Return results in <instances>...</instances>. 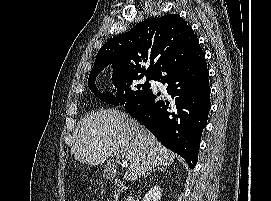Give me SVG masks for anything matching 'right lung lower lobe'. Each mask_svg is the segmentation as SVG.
<instances>
[{"instance_id":"obj_1","label":"right lung lower lobe","mask_w":271,"mask_h":201,"mask_svg":"<svg viewBox=\"0 0 271 201\" xmlns=\"http://www.w3.org/2000/svg\"><path fill=\"white\" fill-rule=\"evenodd\" d=\"M167 84V96L152 89L124 107L168 149L183 157L191 169L198 160L201 134L211 108L205 54L197 38H184L179 49L154 74Z\"/></svg>"}]
</instances>
